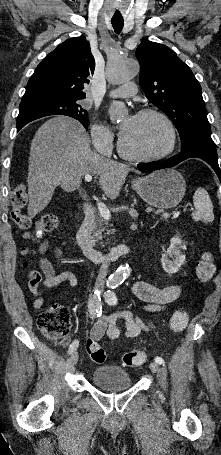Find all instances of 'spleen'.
I'll use <instances>...</instances> for the list:
<instances>
[{
    "mask_svg": "<svg viewBox=\"0 0 221 455\" xmlns=\"http://www.w3.org/2000/svg\"><path fill=\"white\" fill-rule=\"evenodd\" d=\"M193 203L196 212L192 213L194 221L203 220L206 222H213V204L206 189L199 187L193 195Z\"/></svg>",
    "mask_w": 221,
    "mask_h": 455,
    "instance_id": "spleen-1",
    "label": "spleen"
}]
</instances>
